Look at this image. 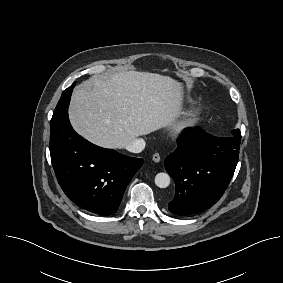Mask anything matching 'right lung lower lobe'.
Wrapping results in <instances>:
<instances>
[{"label": "right lung lower lobe", "mask_w": 283, "mask_h": 283, "mask_svg": "<svg viewBox=\"0 0 283 283\" xmlns=\"http://www.w3.org/2000/svg\"><path fill=\"white\" fill-rule=\"evenodd\" d=\"M75 84L62 93L51 119V162L68 198L92 213L111 215L143 159L98 147L74 131L68 106Z\"/></svg>", "instance_id": "obj_1"}]
</instances>
